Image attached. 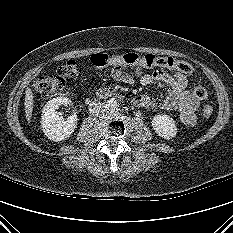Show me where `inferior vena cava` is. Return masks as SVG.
Instances as JSON below:
<instances>
[{
	"instance_id": "inferior-vena-cava-1",
	"label": "inferior vena cava",
	"mask_w": 233,
	"mask_h": 233,
	"mask_svg": "<svg viewBox=\"0 0 233 233\" xmlns=\"http://www.w3.org/2000/svg\"><path fill=\"white\" fill-rule=\"evenodd\" d=\"M106 110V104L96 101L90 104L89 111L92 115L98 116L100 114H103Z\"/></svg>"
}]
</instances>
